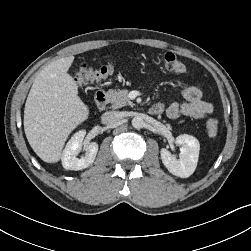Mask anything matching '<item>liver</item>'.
<instances>
[{"mask_svg": "<svg viewBox=\"0 0 251 251\" xmlns=\"http://www.w3.org/2000/svg\"><path fill=\"white\" fill-rule=\"evenodd\" d=\"M74 56L60 58L35 78L24 109V131L33 151L45 162L56 163L69 134L89 116L68 74Z\"/></svg>", "mask_w": 251, "mask_h": 251, "instance_id": "1", "label": "liver"}]
</instances>
